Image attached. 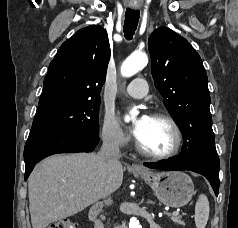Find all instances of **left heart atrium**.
I'll list each match as a JSON object with an SVG mask.
<instances>
[{
    "instance_id": "39dd6f15",
    "label": "left heart atrium",
    "mask_w": 238,
    "mask_h": 228,
    "mask_svg": "<svg viewBox=\"0 0 238 228\" xmlns=\"http://www.w3.org/2000/svg\"><path fill=\"white\" fill-rule=\"evenodd\" d=\"M149 118L150 117L146 115L141 116L131 128V132L137 139L141 136L146 124L148 123Z\"/></svg>"
}]
</instances>
